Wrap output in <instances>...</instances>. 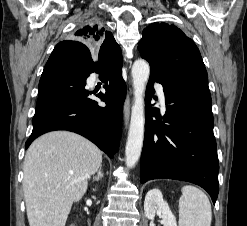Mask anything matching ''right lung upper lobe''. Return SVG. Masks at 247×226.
<instances>
[{
	"mask_svg": "<svg viewBox=\"0 0 247 226\" xmlns=\"http://www.w3.org/2000/svg\"><path fill=\"white\" fill-rule=\"evenodd\" d=\"M74 38L83 44L92 45L99 48L103 56H109L111 64L122 65L121 49L116 43L111 32L106 31L99 23H91L80 27L75 33Z\"/></svg>",
	"mask_w": 247,
	"mask_h": 226,
	"instance_id": "right-lung-upper-lobe-1",
	"label": "right lung upper lobe"
}]
</instances>
